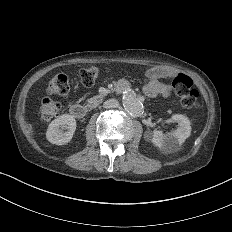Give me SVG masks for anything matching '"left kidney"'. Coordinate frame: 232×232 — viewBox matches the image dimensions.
<instances>
[{
    "instance_id": "5707ae66",
    "label": "left kidney",
    "mask_w": 232,
    "mask_h": 232,
    "mask_svg": "<svg viewBox=\"0 0 232 232\" xmlns=\"http://www.w3.org/2000/svg\"><path fill=\"white\" fill-rule=\"evenodd\" d=\"M172 118L178 123L179 126L178 128L174 129V131L167 134L159 130L153 131L152 142L159 150L182 147L187 137H189L191 134L192 128L190 121L186 116L174 114Z\"/></svg>"
}]
</instances>
